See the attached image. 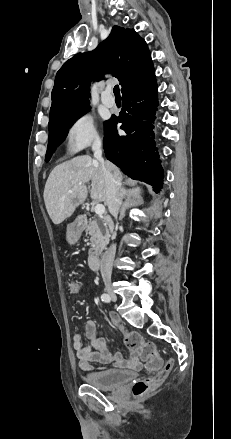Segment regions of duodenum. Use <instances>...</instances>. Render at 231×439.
I'll return each instance as SVG.
<instances>
[{
	"label": "duodenum",
	"mask_w": 231,
	"mask_h": 439,
	"mask_svg": "<svg viewBox=\"0 0 231 439\" xmlns=\"http://www.w3.org/2000/svg\"><path fill=\"white\" fill-rule=\"evenodd\" d=\"M79 221L82 225H85L87 223V218L82 216ZM88 264L92 270L97 271L100 268L99 255L97 253H91L88 257Z\"/></svg>",
	"instance_id": "obj_1"
}]
</instances>
